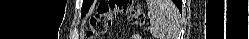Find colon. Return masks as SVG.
<instances>
[{
  "label": "colon",
  "mask_w": 249,
  "mask_h": 39,
  "mask_svg": "<svg viewBox=\"0 0 249 39\" xmlns=\"http://www.w3.org/2000/svg\"><path fill=\"white\" fill-rule=\"evenodd\" d=\"M136 4L137 1L130 0L101 1L89 19L87 38L95 39L105 35L120 13L129 14L132 22L137 23L141 18V10Z\"/></svg>",
  "instance_id": "obj_1"
}]
</instances>
